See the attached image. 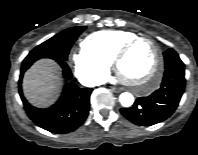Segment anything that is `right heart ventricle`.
<instances>
[{
  "mask_svg": "<svg viewBox=\"0 0 198 155\" xmlns=\"http://www.w3.org/2000/svg\"><path fill=\"white\" fill-rule=\"evenodd\" d=\"M138 34L126 30H102L88 35L82 46L89 52L103 58L108 63L112 62L114 54L128 40Z\"/></svg>",
  "mask_w": 198,
  "mask_h": 155,
  "instance_id": "obj_1",
  "label": "right heart ventricle"
}]
</instances>
